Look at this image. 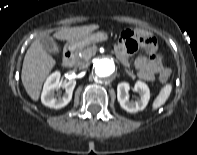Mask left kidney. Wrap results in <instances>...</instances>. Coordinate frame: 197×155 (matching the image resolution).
Masks as SVG:
<instances>
[{
	"mask_svg": "<svg viewBox=\"0 0 197 155\" xmlns=\"http://www.w3.org/2000/svg\"><path fill=\"white\" fill-rule=\"evenodd\" d=\"M130 85L127 82H121L117 86V99L120 106L130 113H135L144 110L150 99V90L148 86L141 81H137L134 85V91L139 93L138 101L129 102Z\"/></svg>",
	"mask_w": 197,
	"mask_h": 155,
	"instance_id": "1",
	"label": "left kidney"
}]
</instances>
